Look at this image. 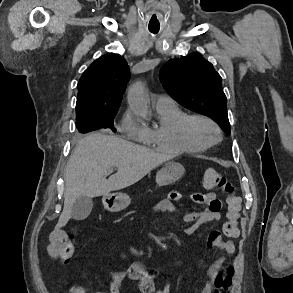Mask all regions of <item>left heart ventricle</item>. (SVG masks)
I'll use <instances>...</instances> for the list:
<instances>
[{"label":"left heart ventricle","instance_id":"1","mask_svg":"<svg viewBox=\"0 0 293 293\" xmlns=\"http://www.w3.org/2000/svg\"><path fill=\"white\" fill-rule=\"evenodd\" d=\"M191 130L194 139L201 143L212 141L217 137L213 127L203 121H195L192 124Z\"/></svg>","mask_w":293,"mask_h":293}]
</instances>
